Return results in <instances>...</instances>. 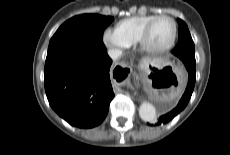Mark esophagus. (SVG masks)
I'll return each mask as SVG.
<instances>
[{"instance_id":"esophagus-1","label":"esophagus","mask_w":230,"mask_h":155,"mask_svg":"<svg viewBox=\"0 0 230 155\" xmlns=\"http://www.w3.org/2000/svg\"><path fill=\"white\" fill-rule=\"evenodd\" d=\"M118 66H120V69H122L123 71H125L126 73H129L131 71V68L130 66H128L127 64L125 63H119ZM114 87L117 91H122L121 88H119V86L115 83L114 84Z\"/></svg>"}]
</instances>
